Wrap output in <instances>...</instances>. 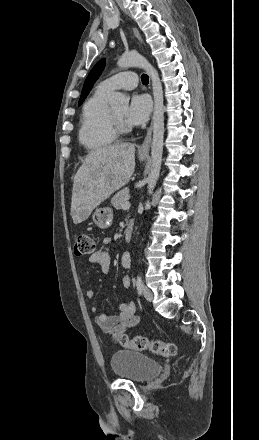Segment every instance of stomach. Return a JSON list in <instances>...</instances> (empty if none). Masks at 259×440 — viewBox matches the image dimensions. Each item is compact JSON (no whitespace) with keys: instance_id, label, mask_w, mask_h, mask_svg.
<instances>
[{"instance_id":"stomach-1","label":"stomach","mask_w":259,"mask_h":440,"mask_svg":"<svg viewBox=\"0 0 259 440\" xmlns=\"http://www.w3.org/2000/svg\"><path fill=\"white\" fill-rule=\"evenodd\" d=\"M145 156H140V160H144ZM92 220L96 226L105 229L111 226L113 222V211L109 207H101L95 210Z\"/></svg>"}]
</instances>
